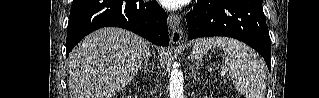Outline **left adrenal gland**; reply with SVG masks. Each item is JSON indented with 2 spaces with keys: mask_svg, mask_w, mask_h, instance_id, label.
I'll return each mask as SVG.
<instances>
[{
  "mask_svg": "<svg viewBox=\"0 0 319 98\" xmlns=\"http://www.w3.org/2000/svg\"><path fill=\"white\" fill-rule=\"evenodd\" d=\"M190 71H191V74H192V78H193L194 80H199V78L196 77V74H195V72H194L192 66H190Z\"/></svg>",
  "mask_w": 319,
  "mask_h": 98,
  "instance_id": "a2214340",
  "label": "left adrenal gland"
}]
</instances>
